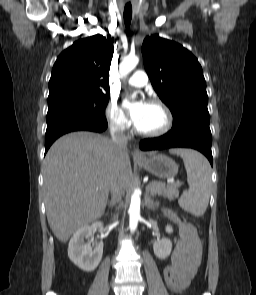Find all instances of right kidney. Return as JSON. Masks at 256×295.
Returning a JSON list of instances; mask_svg holds the SVG:
<instances>
[{"label": "right kidney", "mask_w": 256, "mask_h": 295, "mask_svg": "<svg viewBox=\"0 0 256 295\" xmlns=\"http://www.w3.org/2000/svg\"><path fill=\"white\" fill-rule=\"evenodd\" d=\"M95 229L101 231L103 223L93 222L91 225L81 227L73 234L68 246L69 259L85 272L94 271L103 255V242L98 243L94 249L89 242H84L85 239H90Z\"/></svg>", "instance_id": "ca27d5eb"}]
</instances>
